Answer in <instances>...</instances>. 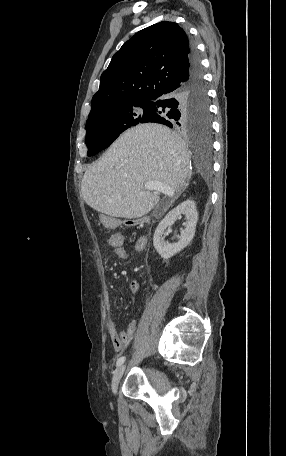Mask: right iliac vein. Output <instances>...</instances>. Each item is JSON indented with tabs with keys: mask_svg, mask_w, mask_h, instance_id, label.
<instances>
[{
	"mask_svg": "<svg viewBox=\"0 0 286 456\" xmlns=\"http://www.w3.org/2000/svg\"><path fill=\"white\" fill-rule=\"evenodd\" d=\"M125 369H126V366L125 365H120L114 375H113V378H112V383H111V389H112V392L113 393H116L117 392V389H118V385L120 383V380L125 372Z\"/></svg>",
	"mask_w": 286,
	"mask_h": 456,
	"instance_id": "obj_1",
	"label": "right iliac vein"
}]
</instances>
